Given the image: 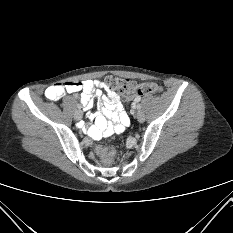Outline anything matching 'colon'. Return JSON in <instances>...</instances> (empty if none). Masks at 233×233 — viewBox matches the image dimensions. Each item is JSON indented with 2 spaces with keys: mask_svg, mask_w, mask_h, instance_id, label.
I'll return each mask as SVG.
<instances>
[{
  "mask_svg": "<svg viewBox=\"0 0 233 233\" xmlns=\"http://www.w3.org/2000/svg\"><path fill=\"white\" fill-rule=\"evenodd\" d=\"M103 82L110 91L121 94L124 100H129L136 95L156 94L162 91V87L154 82L137 83L114 75L107 76ZM95 152L104 164L112 163L115 156L114 149L102 145H96Z\"/></svg>",
  "mask_w": 233,
  "mask_h": 233,
  "instance_id": "obj_1",
  "label": "colon"
}]
</instances>
